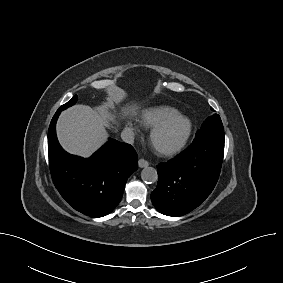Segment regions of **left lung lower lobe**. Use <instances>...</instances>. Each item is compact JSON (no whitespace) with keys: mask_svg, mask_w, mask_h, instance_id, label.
Instances as JSON below:
<instances>
[{"mask_svg":"<svg viewBox=\"0 0 283 283\" xmlns=\"http://www.w3.org/2000/svg\"><path fill=\"white\" fill-rule=\"evenodd\" d=\"M223 155L224 139L198 136L176 158L159 164L158 184L151 193L155 208L182 216L202 204L218 181Z\"/></svg>","mask_w":283,"mask_h":283,"instance_id":"1","label":"left lung lower lobe"}]
</instances>
